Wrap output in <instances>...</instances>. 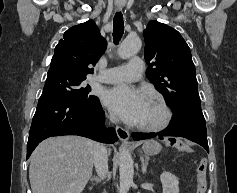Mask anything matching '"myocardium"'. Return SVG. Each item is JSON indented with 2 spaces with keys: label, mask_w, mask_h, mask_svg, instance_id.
<instances>
[{
  "label": "myocardium",
  "mask_w": 237,
  "mask_h": 193,
  "mask_svg": "<svg viewBox=\"0 0 237 193\" xmlns=\"http://www.w3.org/2000/svg\"><path fill=\"white\" fill-rule=\"evenodd\" d=\"M150 100L160 108L162 112L161 119L154 124H138L137 128L147 132H158L168 127L172 120V111L165 100L161 97L152 96Z\"/></svg>",
  "instance_id": "1"
}]
</instances>
